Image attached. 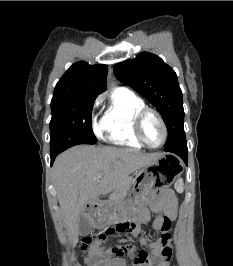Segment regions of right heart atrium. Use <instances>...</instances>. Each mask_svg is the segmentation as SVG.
<instances>
[{"mask_svg": "<svg viewBox=\"0 0 233 266\" xmlns=\"http://www.w3.org/2000/svg\"><path fill=\"white\" fill-rule=\"evenodd\" d=\"M99 104H100V100H97L94 105V110L99 106ZM92 126H93V130L95 134L98 136L101 135L102 132L104 131V125H103L102 120L97 121L95 117H93Z\"/></svg>", "mask_w": 233, "mask_h": 266, "instance_id": "obj_1", "label": "right heart atrium"}]
</instances>
